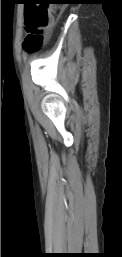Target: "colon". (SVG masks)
<instances>
[{"label": "colon", "mask_w": 122, "mask_h": 257, "mask_svg": "<svg viewBox=\"0 0 122 257\" xmlns=\"http://www.w3.org/2000/svg\"><path fill=\"white\" fill-rule=\"evenodd\" d=\"M52 14L44 5H27L25 12V29L27 36L25 47L36 50L43 44L45 33L51 23Z\"/></svg>", "instance_id": "colon-1"}]
</instances>
